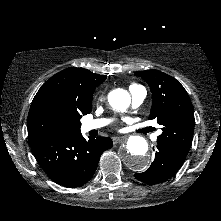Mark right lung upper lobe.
<instances>
[{
  "label": "right lung upper lobe",
  "mask_w": 221,
  "mask_h": 221,
  "mask_svg": "<svg viewBox=\"0 0 221 221\" xmlns=\"http://www.w3.org/2000/svg\"><path fill=\"white\" fill-rule=\"evenodd\" d=\"M107 76L92 73L87 69L71 67L64 69L47 80L35 95L28 114L29 143L34 142L32 128L44 118V111L49 106L70 109L82 115L91 112L92 96L97 86ZM80 123V119H79ZM81 126V123H80ZM74 132L80 131L75 123Z\"/></svg>",
  "instance_id": "1"
}]
</instances>
